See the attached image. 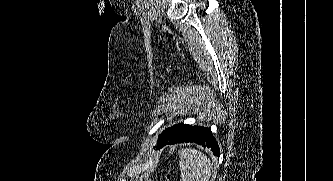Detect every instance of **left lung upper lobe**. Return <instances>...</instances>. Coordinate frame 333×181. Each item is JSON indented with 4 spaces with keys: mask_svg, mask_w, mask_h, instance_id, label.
<instances>
[{
    "mask_svg": "<svg viewBox=\"0 0 333 181\" xmlns=\"http://www.w3.org/2000/svg\"><path fill=\"white\" fill-rule=\"evenodd\" d=\"M188 127H189V125L181 123V124L174 125V126H172L170 128H167L159 136V140H161L162 142L163 141L169 142V141L173 140L175 137H177L178 135H180Z\"/></svg>",
    "mask_w": 333,
    "mask_h": 181,
    "instance_id": "1",
    "label": "left lung upper lobe"
}]
</instances>
